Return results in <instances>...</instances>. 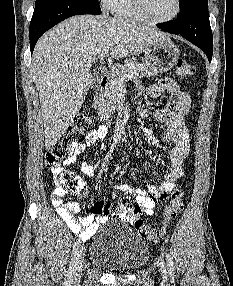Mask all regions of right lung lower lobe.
Wrapping results in <instances>:
<instances>
[{"label":"right lung lower lobe","mask_w":233,"mask_h":286,"mask_svg":"<svg viewBox=\"0 0 233 286\" xmlns=\"http://www.w3.org/2000/svg\"><path fill=\"white\" fill-rule=\"evenodd\" d=\"M82 14L100 15L101 12L75 0H50L40 10L34 11L30 22L31 53L44 32L66 18Z\"/></svg>","instance_id":"right-lung-lower-lobe-1"}]
</instances>
